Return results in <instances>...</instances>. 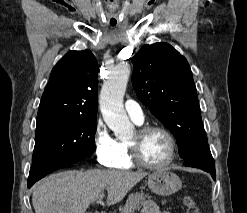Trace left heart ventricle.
<instances>
[{
    "instance_id": "obj_1",
    "label": "left heart ventricle",
    "mask_w": 247,
    "mask_h": 213,
    "mask_svg": "<svg viewBox=\"0 0 247 213\" xmlns=\"http://www.w3.org/2000/svg\"><path fill=\"white\" fill-rule=\"evenodd\" d=\"M137 139L136 132L129 139ZM138 148L141 157L151 164L164 162L169 154V143L166 136L159 131H151L138 139Z\"/></svg>"
}]
</instances>
